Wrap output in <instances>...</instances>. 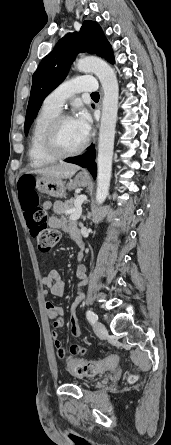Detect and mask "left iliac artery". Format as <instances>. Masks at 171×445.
<instances>
[{"label":"left iliac artery","instance_id":"obj_1","mask_svg":"<svg viewBox=\"0 0 171 445\" xmlns=\"http://www.w3.org/2000/svg\"><path fill=\"white\" fill-rule=\"evenodd\" d=\"M86 317L91 324H95L98 320V316L91 310H87Z\"/></svg>","mask_w":171,"mask_h":445}]
</instances>
